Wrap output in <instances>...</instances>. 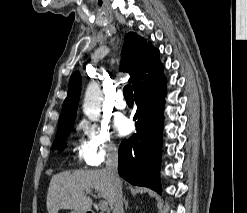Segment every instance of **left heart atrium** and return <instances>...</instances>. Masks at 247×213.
<instances>
[{
  "label": "left heart atrium",
  "mask_w": 247,
  "mask_h": 213,
  "mask_svg": "<svg viewBox=\"0 0 247 213\" xmlns=\"http://www.w3.org/2000/svg\"><path fill=\"white\" fill-rule=\"evenodd\" d=\"M114 127L120 136H124L130 133L132 124L126 117L119 116L114 121Z\"/></svg>",
  "instance_id": "39dd6f15"
}]
</instances>
